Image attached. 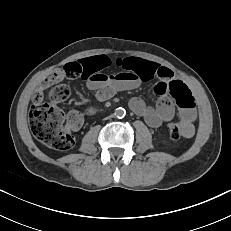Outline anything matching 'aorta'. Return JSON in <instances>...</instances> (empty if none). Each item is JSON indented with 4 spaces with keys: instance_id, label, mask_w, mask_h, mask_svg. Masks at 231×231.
<instances>
[{
    "instance_id": "762f6f07",
    "label": "aorta",
    "mask_w": 231,
    "mask_h": 231,
    "mask_svg": "<svg viewBox=\"0 0 231 231\" xmlns=\"http://www.w3.org/2000/svg\"><path fill=\"white\" fill-rule=\"evenodd\" d=\"M125 114H126V112L123 108H117L115 111V115L119 118L124 117Z\"/></svg>"
}]
</instances>
